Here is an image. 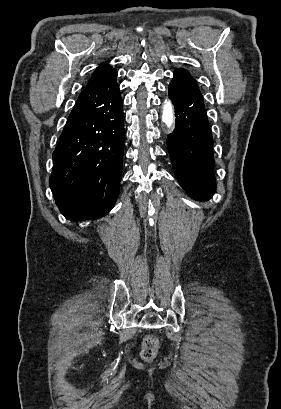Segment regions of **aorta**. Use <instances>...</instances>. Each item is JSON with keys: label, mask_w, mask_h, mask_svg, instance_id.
I'll return each instance as SVG.
<instances>
[{"label": "aorta", "mask_w": 281, "mask_h": 409, "mask_svg": "<svg viewBox=\"0 0 281 409\" xmlns=\"http://www.w3.org/2000/svg\"><path fill=\"white\" fill-rule=\"evenodd\" d=\"M162 121L167 127H171L174 121V109L171 100H165L163 105Z\"/></svg>", "instance_id": "obj_1"}]
</instances>
